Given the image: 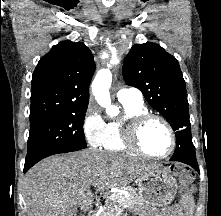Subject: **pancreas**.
Masks as SVG:
<instances>
[{"label":"pancreas","mask_w":221,"mask_h":216,"mask_svg":"<svg viewBox=\"0 0 221 216\" xmlns=\"http://www.w3.org/2000/svg\"><path fill=\"white\" fill-rule=\"evenodd\" d=\"M124 189L128 191L129 194H116L107 197L99 216H119L125 210L133 209L136 205L141 204L140 197L134 188L126 187Z\"/></svg>","instance_id":"obj_1"}]
</instances>
